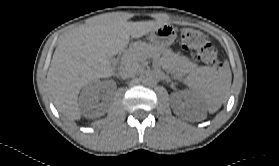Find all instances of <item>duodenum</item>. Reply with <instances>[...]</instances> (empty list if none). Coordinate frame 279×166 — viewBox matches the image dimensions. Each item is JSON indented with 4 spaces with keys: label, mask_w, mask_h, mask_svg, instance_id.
Returning <instances> with one entry per match:
<instances>
[{
    "label": "duodenum",
    "mask_w": 279,
    "mask_h": 166,
    "mask_svg": "<svg viewBox=\"0 0 279 166\" xmlns=\"http://www.w3.org/2000/svg\"><path fill=\"white\" fill-rule=\"evenodd\" d=\"M131 47V44H126L123 48H122V50H121V52H126L129 48Z\"/></svg>",
    "instance_id": "1"
}]
</instances>
